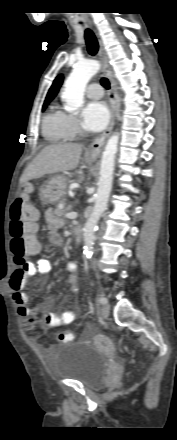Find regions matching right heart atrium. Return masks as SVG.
I'll return each instance as SVG.
<instances>
[{"instance_id":"d8ad5b80","label":"right heart atrium","mask_w":177,"mask_h":440,"mask_svg":"<svg viewBox=\"0 0 177 440\" xmlns=\"http://www.w3.org/2000/svg\"><path fill=\"white\" fill-rule=\"evenodd\" d=\"M65 127L70 137L76 136L81 132L78 119L70 114H65Z\"/></svg>"}]
</instances>
